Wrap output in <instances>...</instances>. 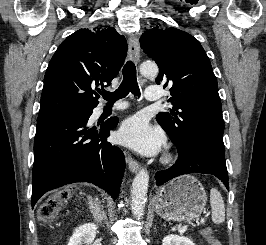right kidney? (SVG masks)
Wrapping results in <instances>:
<instances>
[{
    "instance_id": "ca27d5eb",
    "label": "right kidney",
    "mask_w": 266,
    "mask_h": 245,
    "mask_svg": "<svg viewBox=\"0 0 266 245\" xmlns=\"http://www.w3.org/2000/svg\"><path fill=\"white\" fill-rule=\"evenodd\" d=\"M98 227L94 223H86L75 229L68 245H91L96 237Z\"/></svg>"
}]
</instances>
